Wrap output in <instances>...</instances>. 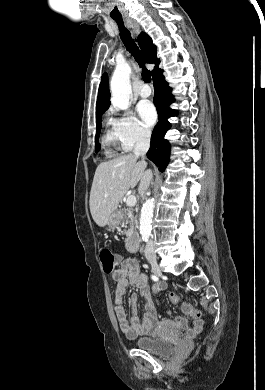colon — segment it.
Here are the masks:
<instances>
[{"label": "colon", "instance_id": "colon-1", "mask_svg": "<svg viewBox=\"0 0 265 390\" xmlns=\"http://www.w3.org/2000/svg\"><path fill=\"white\" fill-rule=\"evenodd\" d=\"M99 257L104 271L106 273H112L117 264V258L113 254V252L110 251L108 248H101L99 252ZM169 298L173 304L180 305L181 311L184 314L194 318H200L201 316L200 312L192 304L182 301L179 295L175 293H171Z\"/></svg>", "mask_w": 265, "mask_h": 390}]
</instances>
